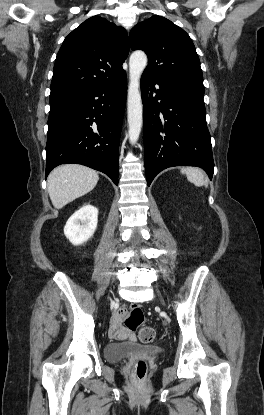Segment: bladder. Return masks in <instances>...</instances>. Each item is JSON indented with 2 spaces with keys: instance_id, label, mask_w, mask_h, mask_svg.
Instances as JSON below:
<instances>
[{
  "instance_id": "1",
  "label": "bladder",
  "mask_w": 264,
  "mask_h": 415,
  "mask_svg": "<svg viewBox=\"0 0 264 415\" xmlns=\"http://www.w3.org/2000/svg\"><path fill=\"white\" fill-rule=\"evenodd\" d=\"M134 354H147L161 356L165 354L164 348L158 345H142L136 342L121 344H107L104 347V356L108 361L119 363Z\"/></svg>"
}]
</instances>
